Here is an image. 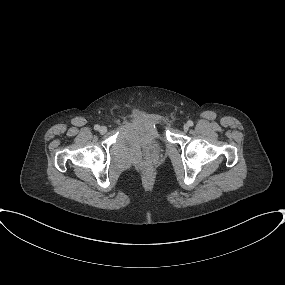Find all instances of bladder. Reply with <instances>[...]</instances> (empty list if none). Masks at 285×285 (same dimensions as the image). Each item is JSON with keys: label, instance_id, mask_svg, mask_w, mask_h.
I'll use <instances>...</instances> for the list:
<instances>
[{"label": "bladder", "instance_id": "obj_1", "mask_svg": "<svg viewBox=\"0 0 285 285\" xmlns=\"http://www.w3.org/2000/svg\"><path fill=\"white\" fill-rule=\"evenodd\" d=\"M158 131L156 129H153L152 130V136L154 137V139H157L158 138Z\"/></svg>", "mask_w": 285, "mask_h": 285}]
</instances>
